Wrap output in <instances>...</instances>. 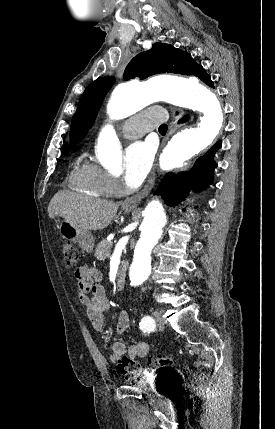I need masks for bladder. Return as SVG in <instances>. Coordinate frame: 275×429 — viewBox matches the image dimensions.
<instances>
[{
  "label": "bladder",
  "instance_id": "31cf9c89",
  "mask_svg": "<svg viewBox=\"0 0 275 429\" xmlns=\"http://www.w3.org/2000/svg\"><path fill=\"white\" fill-rule=\"evenodd\" d=\"M156 384H138V393H152L153 398H170L172 386L168 377H157Z\"/></svg>",
  "mask_w": 275,
  "mask_h": 429
}]
</instances>
